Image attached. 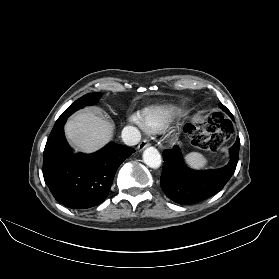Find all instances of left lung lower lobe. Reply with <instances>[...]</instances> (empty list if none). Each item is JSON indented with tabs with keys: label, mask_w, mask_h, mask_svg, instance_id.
<instances>
[{
	"label": "left lung lower lobe",
	"mask_w": 279,
	"mask_h": 279,
	"mask_svg": "<svg viewBox=\"0 0 279 279\" xmlns=\"http://www.w3.org/2000/svg\"><path fill=\"white\" fill-rule=\"evenodd\" d=\"M240 140L230 148L229 163L214 170L194 171L183 162L179 147L163 153L164 165L160 180L161 188L168 198L182 205L203 201L218 193L233 175L239 156Z\"/></svg>",
	"instance_id": "1"
}]
</instances>
